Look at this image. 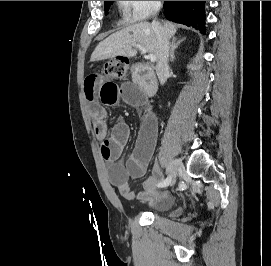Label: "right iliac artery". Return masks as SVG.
<instances>
[{
  "mask_svg": "<svg viewBox=\"0 0 271 266\" xmlns=\"http://www.w3.org/2000/svg\"><path fill=\"white\" fill-rule=\"evenodd\" d=\"M171 182V178L170 176H168L165 180H163L162 182H160L158 184L159 187H165V186H168Z\"/></svg>",
  "mask_w": 271,
  "mask_h": 266,
  "instance_id": "82829eb1",
  "label": "right iliac artery"
}]
</instances>
